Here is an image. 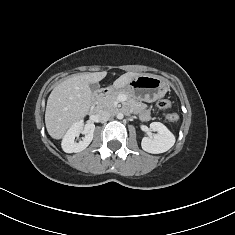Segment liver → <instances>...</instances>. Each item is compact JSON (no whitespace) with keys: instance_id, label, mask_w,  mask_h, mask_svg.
<instances>
[{"instance_id":"obj_1","label":"liver","mask_w":235,"mask_h":235,"mask_svg":"<svg viewBox=\"0 0 235 235\" xmlns=\"http://www.w3.org/2000/svg\"><path fill=\"white\" fill-rule=\"evenodd\" d=\"M107 75L106 71L80 73L58 84L50 93L45 111L48 134L54 139L63 138L66 131L82 120L90 110L91 83H98ZM141 74L127 72L113 83L115 89L124 88L133 78Z\"/></svg>"}]
</instances>
